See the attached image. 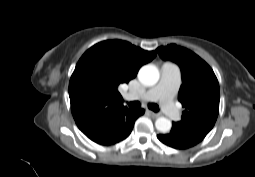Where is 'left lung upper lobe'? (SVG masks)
I'll return each mask as SVG.
<instances>
[{
    "instance_id": "left-lung-upper-lobe-1",
    "label": "left lung upper lobe",
    "mask_w": 255,
    "mask_h": 177,
    "mask_svg": "<svg viewBox=\"0 0 255 177\" xmlns=\"http://www.w3.org/2000/svg\"><path fill=\"white\" fill-rule=\"evenodd\" d=\"M156 51L163 60L175 62L181 70L178 100L185 111L182 119L174 123L186 132L204 138L219 113L220 90L213 70L195 53L175 44L159 47Z\"/></svg>"
}]
</instances>
